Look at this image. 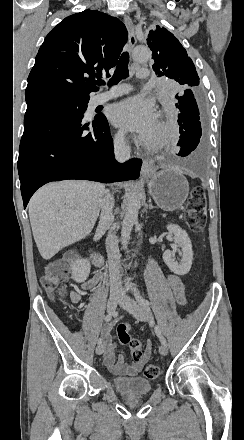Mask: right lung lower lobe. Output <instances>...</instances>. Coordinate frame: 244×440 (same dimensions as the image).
<instances>
[{
	"label": "right lung lower lobe",
	"instance_id": "98d812e1",
	"mask_svg": "<svg viewBox=\"0 0 244 440\" xmlns=\"http://www.w3.org/2000/svg\"><path fill=\"white\" fill-rule=\"evenodd\" d=\"M84 113L54 106L27 107L18 158L24 208L34 192L51 181L112 183L139 177L141 159L123 164L114 159L106 117L86 121Z\"/></svg>",
	"mask_w": 244,
	"mask_h": 440
}]
</instances>
